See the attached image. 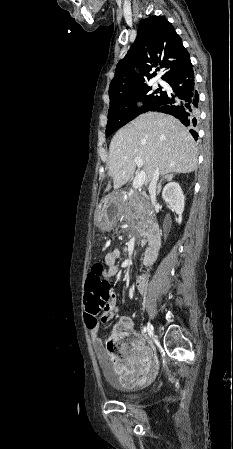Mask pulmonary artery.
<instances>
[{
  "label": "pulmonary artery",
  "mask_w": 233,
  "mask_h": 449,
  "mask_svg": "<svg viewBox=\"0 0 233 449\" xmlns=\"http://www.w3.org/2000/svg\"><path fill=\"white\" fill-rule=\"evenodd\" d=\"M157 83L158 84H163V81L162 80H157Z\"/></svg>",
  "instance_id": "pulmonary-artery-1"
}]
</instances>
